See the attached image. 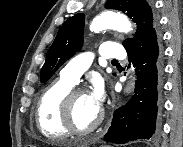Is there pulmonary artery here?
<instances>
[{"instance_id":"obj_1","label":"pulmonary artery","mask_w":183,"mask_h":147,"mask_svg":"<svg viewBox=\"0 0 183 147\" xmlns=\"http://www.w3.org/2000/svg\"><path fill=\"white\" fill-rule=\"evenodd\" d=\"M97 54L104 59H123L125 57L123 46L113 42L101 44ZM94 55L93 52H85L77 55L61 70L60 77L72 84H77L80 76L91 65Z\"/></svg>"}]
</instances>
